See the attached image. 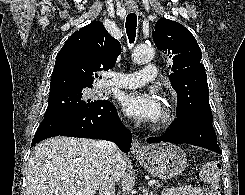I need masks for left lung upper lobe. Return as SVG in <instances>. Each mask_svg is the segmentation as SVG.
<instances>
[{
	"mask_svg": "<svg viewBox=\"0 0 245 195\" xmlns=\"http://www.w3.org/2000/svg\"><path fill=\"white\" fill-rule=\"evenodd\" d=\"M155 45L171 60L169 80L177 93V117L199 114L212 118L207 75L201 49L183 25L161 18L152 32Z\"/></svg>",
	"mask_w": 245,
	"mask_h": 195,
	"instance_id": "1",
	"label": "left lung upper lobe"
}]
</instances>
